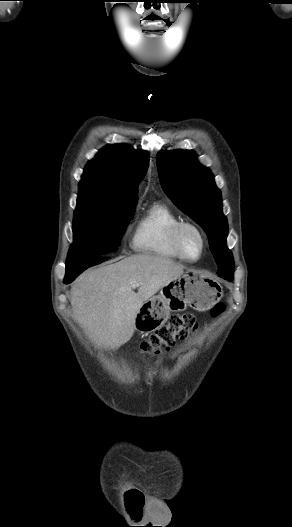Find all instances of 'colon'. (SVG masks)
Here are the masks:
<instances>
[{"mask_svg":"<svg viewBox=\"0 0 292 527\" xmlns=\"http://www.w3.org/2000/svg\"><path fill=\"white\" fill-rule=\"evenodd\" d=\"M223 309L222 304L216 305L211 311L212 316H218ZM196 330L197 322L192 314L173 315L167 324L160 327L141 343V350L149 354L166 352L176 341L187 340ZM129 497L135 512H139L142 506L141 496L130 490Z\"/></svg>","mask_w":292,"mask_h":527,"instance_id":"colon-1","label":"colon"}]
</instances>
